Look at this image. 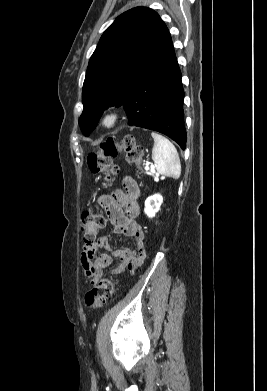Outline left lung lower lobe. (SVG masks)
<instances>
[{
  "label": "left lung lower lobe",
  "instance_id": "1",
  "mask_svg": "<svg viewBox=\"0 0 267 391\" xmlns=\"http://www.w3.org/2000/svg\"><path fill=\"white\" fill-rule=\"evenodd\" d=\"M184 90L171 44L148 68L124 102L130 126L163 133L184 150ZM88 136V135H85Z\"/></svg>",
  "mask_w": 267,
  "mask_h": 391
}]
</instances>
